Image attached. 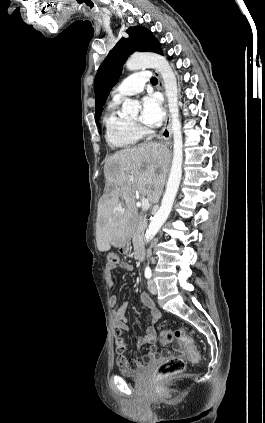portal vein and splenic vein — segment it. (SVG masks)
<instances>
[{
  "label": "portal vein and splenic vein",
  "instance_id": "18ae733b",
  "mask_svg": "<svg viewBox=\"0 0 265 423\" xmlns=\"http://www.w3.org/2000/svg\"><path fill=\"white\" fill-rule=\"evenodd\" d=\"M141 207L143 210H148L150 207V203L149 200L147 198H142L141 199Z\"/></svg>",
  "mask_w": 265,
  "mask_h": 423
}]
</instances>
